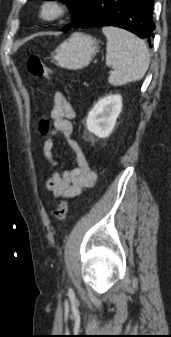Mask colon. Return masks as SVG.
Listing matches in <instances>:
<instances>
[{
  "mask_svg": "<svg viewBox=\"0 0 171 337\" xmlns=\"http://www.w3.org/2000/svg\"><path fill=\"white\" fill-rule=\"evenodd\" d=\"M27 69L33 78H50L51 70L36 56H31L27 60ZM39 132L45 136L49 132V121L46 118L40 120L38 124ZM68 212V203L66 200H59L53 210V217L57 221L65 219Z\"/></svg>",
  "mask_w": 171,
  "mask_h": 337,
  "instance_id": "5ec220e1",
  "label": "colon"
}]
</instances>
